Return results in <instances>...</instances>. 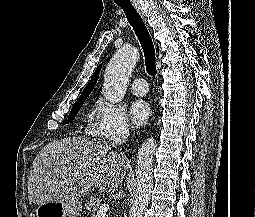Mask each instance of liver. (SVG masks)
I'll return each mask as SVG.
<instances>
[{
	"label": "liver",
	"instance_id": "obj_1",
	"mask_svg": "<svg viewBox=\"0 0 255 217\" xmlns=\"http://www.w3.org/2000/svg\"><path fill=\"white\" fill-rule=\"evenodd\" d=\"M127 160L107 142L65 138L47 144L35 157L28 180V199L39 205L78 199L94 188H117Z\"/></svg>",
	"mask_w": 255,
	"mask_h": 217
}]
</instances>
